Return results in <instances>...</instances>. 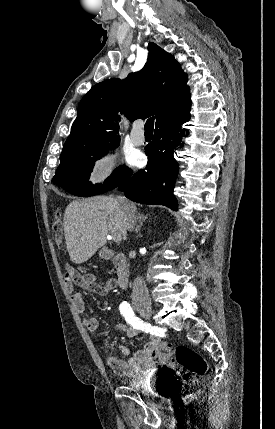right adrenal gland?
Masks as SVG:
<instances>
[{"instance_id": "2a0ac1e0", "label": "right adrenal gland", "mask_w": 275, "mask_h": 429, "mask_svg": "<svg viewBox=\"0 0 275 429\" xmlns=\"http://www.w3.org/2000/svg\"><path fill=\"white\" fill-rule=\"evenodd\" d=\"M147 218H148V214L144 215L143 213L138 212V222H139V224H138V226L135 229V232L138 234V236H140V229H141V227L143 225V221H145Z\"/></svg>"}]
</instances>
